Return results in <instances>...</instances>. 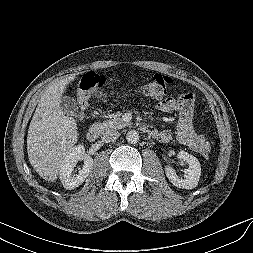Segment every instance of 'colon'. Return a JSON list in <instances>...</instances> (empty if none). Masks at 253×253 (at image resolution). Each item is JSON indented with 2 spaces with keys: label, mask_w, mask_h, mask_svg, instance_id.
<instances>
[{
  "label": "colon",
  "mask_w": 253,
  "mask_h": 253,
  "mask_svg": "<svg viewBox=\"0 0 253 253\" xmlns=\"http://www.w3.org/2000/svg\"><path fill=\"white\" fill-rule=\"evenodd\" d=\"M171 84V79L162 74H154L149 80L136 87L133 93L151 100H157L167 94ZM104 78L96 73L86 74L75 87V98L77 103V116L82 119L88 109L91 98L102 99L106 94L102 91ZM125 92L123 95H127ZM178 98L193 101L194 96L191 93H183ZM200 152L203 156L208 157L211 154L210 144L203 139Z\"/></svg>",
  "instance_id": "5ec220e1"
}]
</instances>
